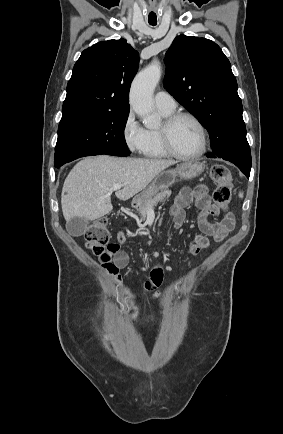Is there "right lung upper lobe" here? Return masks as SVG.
<instances>
[{"instance_id": "obj_1", "label": "right lung upper lobe", "mask_w": 283, "mask_h": 434, "mask_svg": "<svg viewBox=\"0 0 283 434\" xmlns=\"http://www.w3.org/2000/svg\"><path fill=\"white\" fill-rule=\"evenodd\" d=\"M139 54L126 40H109L85 49L67 85L62 117L129 111L128 93Z\"/></svg>"}]
</instances>
